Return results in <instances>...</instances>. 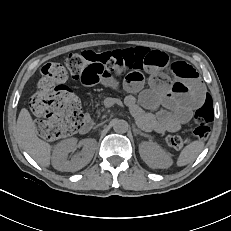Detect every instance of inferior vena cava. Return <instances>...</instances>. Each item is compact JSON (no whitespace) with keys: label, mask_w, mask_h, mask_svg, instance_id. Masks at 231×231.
<instances>
[{"label":"inferior vena cava","mask_w":231,"mask_h":231,"mask_svg":"<svg viewBox=\"0 0 231 231\" xmlns=\"http://www.w3.org/2000/svg\"><path fill=\"white\" fill-rule=\"evenodd\" d=\"M100 125H101V124L97 125L96 127H98V126H100ZM96 127H95V128H96Z\"/></svg>","instance_id":"602c4592"}]
</instances>
